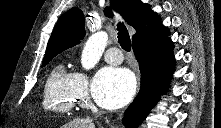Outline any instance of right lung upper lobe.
<instances>
[{
	"mask_svg": "<svg viewBox=\"0 0 221 128\" xmlns=\"http://www.w3.org/2000/svg\"><path fill=\"white\" fill-rule=\"evenodd\" d=\"M112 7L121 13L129 25L135 28L133 44H154L164 40L170 31L160 22V17L150 5L141 0H111ZM105 15L112 17L111 8H105ZM84 16L77 8L68 10L57 22L50 37L45 57L56 56L60 52L80 43L85 36ZM44 57V58H45Z\"/></svg>",
	"mask_w": 221,
	"mask_h": 128,
	"instance_id": "right-lung-upper-lobe-1",
	"label": "right lung upper lobe"
}]
</instances>
